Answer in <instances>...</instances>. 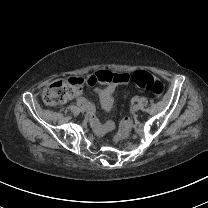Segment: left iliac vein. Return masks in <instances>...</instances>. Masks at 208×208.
Wrapping results in <instances>:
<instances>
[{
    "instance_id": "left-iliac-vein-1",
    "label": "left iliac vein",
    "mask_w": 208,
    "mask_h": 208,
    "mask_svg": "<svg viewBox=\"0 0 208 208\" xmlns=\"http://www.w3.org/2000/svg\"><path fill=\"white\" fill-rule=\"evenodd\" d=\"M139 108H140L139 105H134L131 110L132 112H137Z\"/></svg>"
}]
</instances>
